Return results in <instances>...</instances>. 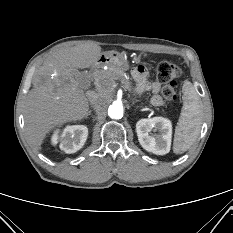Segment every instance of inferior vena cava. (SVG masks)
Here are the masks:
<instances>
[{
    "instance_id": "obj_1",
    "label": "inferior vena cava",
    "mask_w": 233,
    "mask_h": 233,
    "mask_svg": "<svg viewBox=\"0 0 233 233\" xmlns=\"http://www.w3.org/2000/svg\"><path fill=\"white\" fill-rule=\"evenodd\" d=\"M87 97H88V100L90 101V103L92 105H95L99 100L100 94L95 92V91H88Z\"/></svg>"
}]
</instances>
